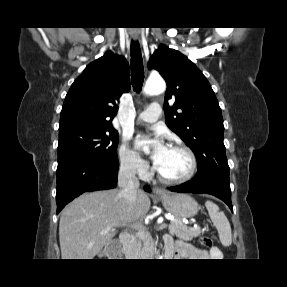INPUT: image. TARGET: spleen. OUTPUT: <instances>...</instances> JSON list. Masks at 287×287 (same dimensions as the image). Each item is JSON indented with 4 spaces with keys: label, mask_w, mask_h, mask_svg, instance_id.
Returning a JSON list of instances; mask_svg holds the SVG:
<instances>
[{
    "label": "spleen",
    "mask_w": 287,
    "mask_h": 287,
    "mask_svg": "<svg viewBox=\"0 0 287 287\" xmlns=\"http://www.w3.org/2000/svg\"><path fill=\"white\" fill-rule=\"evenodd\" d=\"M209 216L218 230L219 238L223 246H230L232 243V234L230 223L223 212L219 210V207L208 200L205 203Z\"/></svg>",
    "instance_id": "spleen-1"
}]
</instances>
